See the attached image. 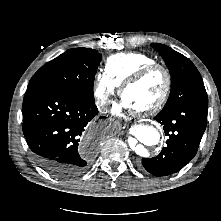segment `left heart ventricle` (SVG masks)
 Returning <instances> with one entry per match:
<instances>
[{"mask_svg":"<svg viewBox=\"0 0 221 221\" xmlns=\"http://www.w3.org/2000/svg\"><path fill=\"white\" fill-rule=\"evenodd\" d=\"M164 87V76L160 71H156L130 86L126 90L124 98L133 106L134 110L144 109L160 98Z\"/></svg>","mask_w":221,"mask_h":221,"instance_id":"left-heart-ventricle-1","label":"left heart ventricle"}]
</instances>
